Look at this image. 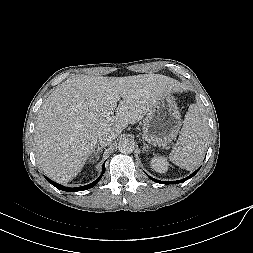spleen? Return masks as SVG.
Listing matches in <instances>:
<instances>
[{"label": "spleen", "instance_id": "obj_1", "mask_svg": "<svg viewBox=\"0 0 253 253\" xmlns=\"http://www.w3.org/2000/svg\"><path fill=\"white\" fill-rule=\"evenodd\" d=\"M207 128L196 104L189 107L178 141L170 153V161L192 171L197 168L207 148Z\"/></svg>", "mask_w": 253, "mask_h": 253}]
</instances>
